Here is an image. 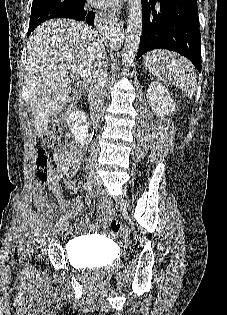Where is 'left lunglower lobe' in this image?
<instances>
[{"mask_svg":"<svg viewBox=\"0 0 227 315\" xmlns=\"http://www.w3.org/2000/svg\"><path fill=\"white\" fill-rule=\"evenodd\" d=\"M142 25L137 59L153 49H169L187 57L201 72L196 0H142Z\"/></svg>","mask_w":227,"mask_h":315,"instance_id":"left-lung-lower-lobe-1","label":"left lung lower lobe"}]
</instances>
